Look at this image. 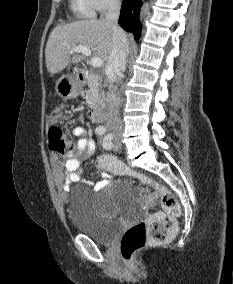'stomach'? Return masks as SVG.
<instances>
[{"instance_id":"1","label":"stomach","mask_w":233,"mask_h":284,"mask_svg":"<svg viewBox=\"0 0 233 284\" xmlns=\"http://www.w3.org/2000/svg\"><path fill=\"white\" fill-rule=\"evenodd\" d=\"M82 87V82L76 76L64 75L56 83V93L63 99L76 97Z\"/></svg>"}]
</instances>
